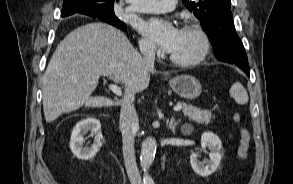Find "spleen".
<instances>
[{
	"label": "spleen",
	"instance_id": "spleen-1",
	"mask_svg": "<svg viewBox=\"0 0 293 184\" xmlns=\"http://www.w3.org/2000/svg\"><path fill=\"white\" fill-rule=\"evenodd\" d=\"M230 96L233 97L235 101L240 105L248 103L249 100L245 88L239 82L233 83V85L231 86Z\"/></svg>",
	"mask_w": 293,
	"mask_h": 184
}]
</instances>
